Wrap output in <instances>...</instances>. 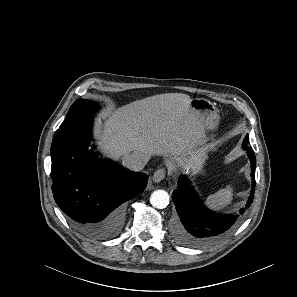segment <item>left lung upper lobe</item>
<instances>
[{"instance_id":"left-lung-upper-lobe-1","label":"left lung upper lobe","mask_w":297,"mask_h":297,"mask_svg":"<svg viewBox=\"0 0 297 297\" xmlns=\"http://www.w3.org/2000/svg\"><path fill=\"white\" fill-rule=\"evenodd\" d=\"M249 138L248 135L245 137L244 142H243V147H247L248 149H251L249 146Z\"/></svg>"}]
</instances>
